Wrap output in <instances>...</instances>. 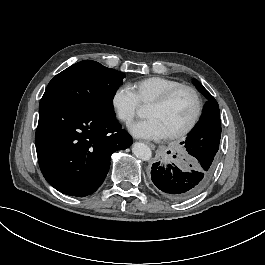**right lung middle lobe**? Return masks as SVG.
Instances as JSON below:
<instances>
[{
    "instance_id": "1",
    "label": "right lung middle lobe",
    "mask_w": 265,
    "mask_h": 265,
    "mask_svg": "<svg viewBox=\"0 0 265 265\" xmlns=\"http://www.w3.org/2000/svg\"><path fill=\"white\" fill-rule=\"evenodd\" d=\"M122 72L85 60L56 75L40 102L54 101L92 114L115 118L112 100L123 83Z\"/></svg>"
}]
</instances>
